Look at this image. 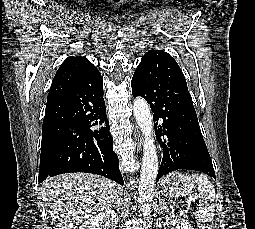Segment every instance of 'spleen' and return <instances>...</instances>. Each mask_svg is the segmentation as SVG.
I'll list each match as a JSON object with an SVG mask.
<instances>
[{"instance_id":"1","label":"spleen","mask_w":255,"mask_h":229,"mask_svg":"<svg viewBox=\"0 0 255 229\" xmlns=\"http://www.w3.org/2000/svg\"><path fill=\"white\" fill-rule=\"evenodd\" d=\"M196 179L199 191V209L195 212L196 218L201 222H211L215 212V190L213 184L203 174H192Z\"/></svg>"}]
</instances>
